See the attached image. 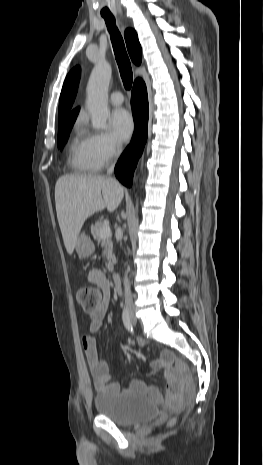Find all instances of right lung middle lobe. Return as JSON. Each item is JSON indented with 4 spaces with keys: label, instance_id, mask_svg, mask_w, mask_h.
<instances>
[{
    "label": "right lung middle lobe",
    "instance_id": "1",
    "mask_svg": "<svg viewBox=\"0 0 263 465\" xmlns=\"http://www.w3.org/2000/svg\"><path fill=\"white\" fill-rule=\"evenodd\" d=\"M77 114L58 122V147L63 148L68 140L69 132L76 120Z\"/></svg>",
    "mask_w": 263,
    "mask_h": 465
}]
</instances>
